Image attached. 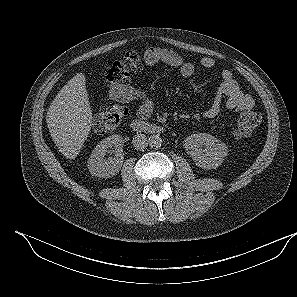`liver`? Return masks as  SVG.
<instances>
[{
    "mask_svg": "<svg viewBox=\"0 0 297 297\" xmlns=\"http://www.w3.org/2000/svg\"><path fill=\"white\" fill-rule=\"evenodd\" d=\"M92 119L85 76L78 73L56 95L46 116L52 140L66 158L74 159L80 153Z\"/></svg>",
    "mask_w": 297,
    "mask_h": 297,
    "instance_id": "6515ba94",
    "label": "liver"
}]
</instances>
